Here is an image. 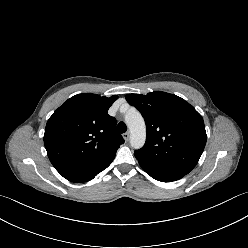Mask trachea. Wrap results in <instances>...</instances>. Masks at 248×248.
<instances>
[{
    "label": "trachea",
    "mask_w": 248,
    "mask_h": 248,
    "mask_svg": "<svg viewBox=\"0 0 248 248\" xmlns=\"http://www.w3.org/2000/svg\"><path fill=\"white\" fill-rule=\"evenodd\" d=\"M117 130L119 133H125L127 131V126L124 122H119L117 125Z\"/></svg>",
    "instance_id": "3493384b"
}]
</instances>
